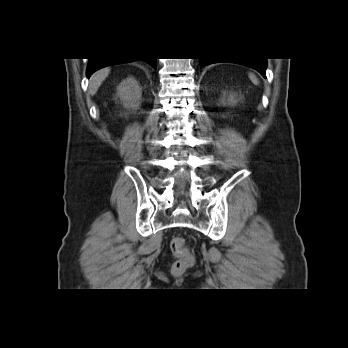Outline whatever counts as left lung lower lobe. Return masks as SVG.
Listing matches in <instances>:
<instances>
[{
	"label": "left lung lower lobe",
	"mask_w": 348,
	"mask_h": 348,
	"mask_svg": "<svg viewBox=\"0 0 348 348\" xmlns=\"http://www.w3.org/2000/svg\"><path fill=\"white\" fill-rule=\"evenodd\" d=\"M200 66H203L205 64H211L216 62H234L243 64L249 67H252L259 71L264 77L265 76V70H266V59H251V58H240V59H207V58H200Z\"/></svg>",
	"instance_id": "0a47b994"
}]
</instances>
